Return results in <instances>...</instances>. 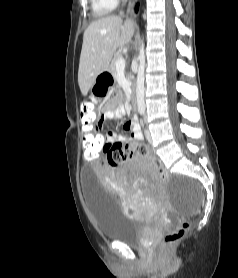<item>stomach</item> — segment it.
I'll return each instance as SVG.
<instances>
[{"label": "stomach", "mask_w": 238, "mask_h": 278, "mask_svg": "<svg viewBox=\"0 0 238 278\" xmlns=\"http://www.w3.org/2000/svg\"><path fill=\"white\" fill-rule=\"evenodd\" d=\"M113 85L114 77L110 69H101V74H96L95 81L90 84L92 99H108L109 86Z\"/></svg>", "instance_id": "obj_1"}]
</instances>
